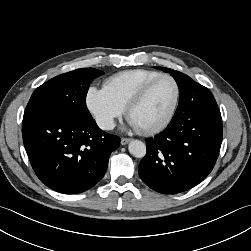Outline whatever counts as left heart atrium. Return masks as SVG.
Segmentation results:
<instances>
[{
  "instance_id": "obj_1",
  "label": "left heart atrium",
  "mask_w": 251,
  "mask_h": 251,
  "mask_svg": "<svg viewBox=\"0 0 251 251\" xmlns=\"http://www.w3.org/2000/svg\"><path fill=\"white\" fill-rule=\"evenodd\" d=\"M130 124H131V126H133V127H135V128H138L134 123H132L131 121H130Z\"/></svg>"
}]
</instances>
